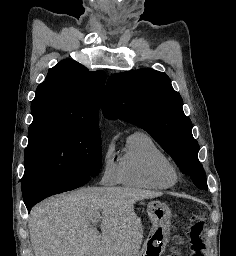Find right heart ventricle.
Here are the masks:
<instances>
[{"label":"right heart ventricle","instance_id":"obj_1","mask_svg":"<svg viewBox=\"0 0 236 256\" xmlns=\"http://www.w3.org/2000/svg\"><path fill=\"white\" fill-rule=\"evenodd\" d=\"M170 158L144 132H135L127 139V151L121 158V184L131 188L160 189L173 187L175 181L161 174Z\"/></svg>","mask_w":236,"mask_h":256}]
</instances>
